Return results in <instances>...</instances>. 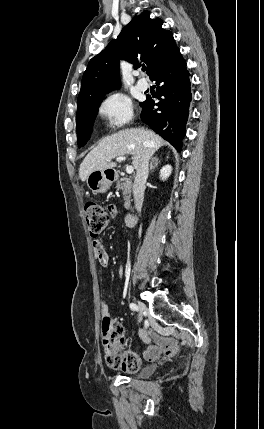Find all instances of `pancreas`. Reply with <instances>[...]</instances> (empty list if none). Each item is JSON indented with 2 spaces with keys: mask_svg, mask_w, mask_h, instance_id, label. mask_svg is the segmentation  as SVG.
<instances>
[{
  "mask_svg": "<svg viewBox=\"0 0 264 429\" xmlns=\"http://www.w3.org/2000/svg\"><path fill=\"white\" fill-rule=\"evenodd\" d=\"M117 190H121L124 196L125 204L124 207L129 209L130 207V197H131V188L132 182L130 178L123 177L119 179L116 183Z\"/></svg>",
  "mask_w": 264,
  "mask_h": 429,
  "instance_id": "cf45deb5",
  "label": "pancreas"
}]
</instances>
